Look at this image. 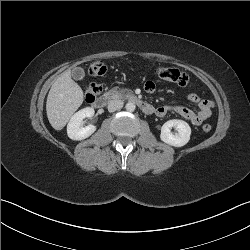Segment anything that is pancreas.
I'll return each mask as SVG.
<instances>
[{
    "instance_id": "pancreas-1",
    "label": "pancreas",
    "mask_w": 250,
    "mask_h": 250,
    "mask_svg": "<svg viewBox=\"0 0 250 250\" xmlns=\"http://www.w3.org/2000/svg\"><path fill=\"white\" fill-rule=\"evenodd\" d=\"M130 91L127 89H120L118 87H114L113 89H111L109 91V94L113 97V98H122L123 96H125L126 94H129Z\"/></svg>"
}]
</instances>
